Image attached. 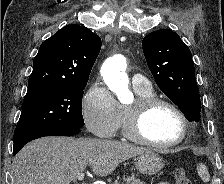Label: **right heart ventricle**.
<instances>
[{
    "instance_id": "e07e8e85",
    "label": "right heart ventricle",
    "mask_w": 224,
    "mask_h": 184,
    "mask_svg": "<svg viewBox=\"0 0 224 184\" xmlns=\"http://www.w3.org/2000/svg\"><path fill=\"white\" fill-rule=\"evenodd\" d=\"M134 90H135V92L138 96V99L154 96L152 89H137V88H134ZM127 109H128V106H121L119 128L122 129L123 133H125V123H126V117H127Z\"/></svg>"
}]
</instances>
